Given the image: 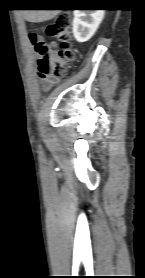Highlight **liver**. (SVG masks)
<instances>
[{"label":"liver","mask_w":145,"mask_h":278,"mask_svg":"<svg viewBox=\"0 0 145 278\" xmlns=\"http://www.w3.org/2000/svg\"><path fill=\"white\" fill-rule=\"evenodd\" d=\"M23 18L26 21L40 23L56 17L60 10H22Z\"/></svg>","instance_id":"liver-1"}]
</instances>
